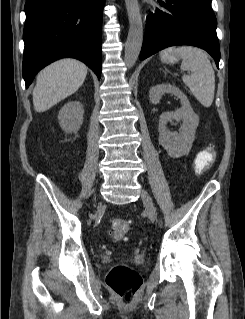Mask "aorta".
Wrapping results in <instances>:
<instances>
[{"instance_id": "1", "label": "aorta", "mask_w": 245, "mask_h": 319, "mask_svg": "<svg viewBox=\"0 0 245 319\" xmlns=\"http://www.w3.org/2000/svg\"><path fill=\"white\" fill-rule=\"evenodd\" d=\"M129 31L125 43V63L128 68L135 65L143 43V23L138 0H125Z\"/></svg>"}]
</instances>
